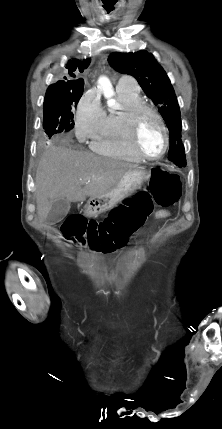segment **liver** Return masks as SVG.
<instances>
[{
	"instance_id": "obj_1",
	"label": "liver",
	"mask_w": 222,
	"mask_h": 429,
	"mask_svg": "<svg viewBox=\"0 0 222 429\" xmlns=\"http://www.w3.org/2000/svg\"><path fill=\"white\" fill-rule=\"evenodd\" d=\"M120 160L91 152L51 147L42 156L35 178L37 214L44 221L55 201L71 202L100 196L112 189L129 171L137 168ZM89 182L82 183V181ZM84 187L82 188V185Z\"/></svg>"
}]
</instances>
